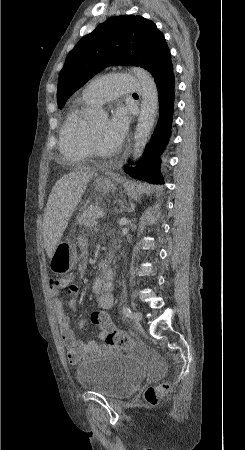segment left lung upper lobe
Masks as SVG:
<instances>
[{"label":"left lung upper lobe","instance_id":"5c2ea615","mask_svg":"<svg viewBox=\"0 0 245 450\" xmlns=\"http://www.w3.org/2000/svg\"><path fill=\"white\" fill-rule=\"evenodd\" d=\"M169 60L164 35L152 21L134 15L112 17L69 52L58 79V107L61 109L76 90L108 66L135 65L153 75Z\"/></svg>","mask_w":245,"mask_h":450}]
</instances>
